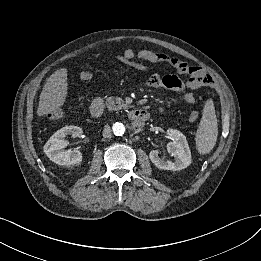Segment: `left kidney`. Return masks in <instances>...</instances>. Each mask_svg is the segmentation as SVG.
Listing matches in <instances>:
<instances>
[{
    "instance_id": "obj_1",
    "label": "left kidney",
    "mask_w": 261,
    "mask_h": 261,
    "mask_svg": "<svg viewBox=\"0 0 261 261\" xmlns=\"http://www.w3.org/2000/svg\"><path fill=\"white\" fill-rule=\"evenodd\" d=\"M166 135L173 141L167 145V150L174 157V162L164 160L158 150H152L149 153L152 163L162 170L178 171L188 167L191 164V152L186 137L175 129H168Z\"/></svg>"
}]
</instances>
